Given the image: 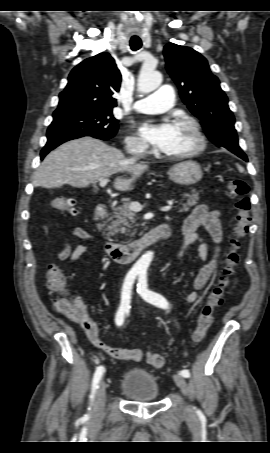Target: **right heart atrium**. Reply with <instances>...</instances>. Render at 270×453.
<instances>
[{"mask_svg": "<svg viewBox=\"0 0 270 453\" xmlns=\"http://www.w3.org/2000/svg\"><path fill=\"white\" fill-rule=\"evenodd\" d=\"M125 146L129 151L136 153H144L148 149L147 144L137 136H128Z\"/></svg>", "mask_w": 270, "mask_h": 453, "instance_id": "right-heart-atrium-1", "label": "right heart atrium"}]
</instances>
